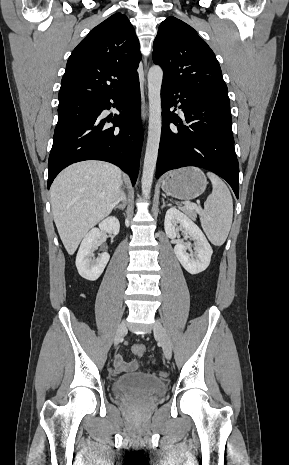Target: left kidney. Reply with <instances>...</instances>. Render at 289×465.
<instances>
[{
    "label": "left kidney",
    "instance_id": "5707ae66",
    "mask_svg": "<svg viewBox=\"0 0 289 465\" xmlns=\"http://www.w3.org/2000/svg\"><path fill=\"white\" fill-rule=\"evenodd\" d=\"M165 233L169 238H175L179 231L184 230L186 234L194 241L193 253H187L190 246L177 244L174 247V253L190 274L203 272L210 264L213 254L212 247L206 239L200 228L184 213L176 208L167 210L164 221Z\"/></svg>",
    "mask_w": 289,
    "mask_h": 465
}]
</instances>
